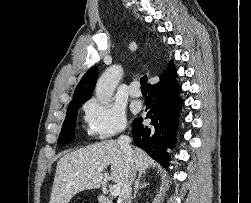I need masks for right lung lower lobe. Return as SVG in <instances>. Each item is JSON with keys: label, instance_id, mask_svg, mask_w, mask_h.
<instances>
[{"label": "right lung lower lobe", "instance_id": "98d812e1", "mask_svg": "<svg viewBox=\"0 0 251 203\" xmlns=\"http://www.w3.org/2000/svg\"><path fill=\"white\" fill-rule=\"evenodd\" d=\"M180 86L176 83V72L172 64L161 76L160 81L148 86L145 118L151 119L149 126H143V119L137 118L132 124L136 146L146 151L161 165L169 166L167 148L175 143L178 128Z\"/></svg>", "mask_w": 251, "mask_h": 203}]
</instances>
